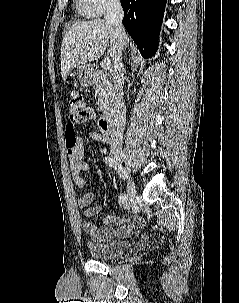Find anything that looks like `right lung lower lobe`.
Instances as JSON below:
<instances>
[{
    "mask_svg": "<svg viewBox=\"0 0 239 303\" xmlns=\"http://www.w3.org/2000/svg\"><path fill=\"white\" fill-rule=\"evenodd\" d=\"M165 4L166 0H121L122 23L145 58L157 50Z\"/></svg>",
    "mask_w": 239,
    "mask_h": 303,
    "instance_id": "98d812e1",
    "label": "right lung lower lobe"
}]
</instances>
